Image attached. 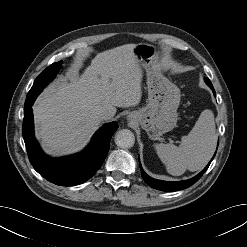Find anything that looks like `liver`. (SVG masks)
Segmentation results:
<instances>
[{"label": "liver", "mask_w": 247, "mask_h": 247, "mask_svg": "<svg viewBox=\"0 0 247 247\" xmlns=\"http://www.w3.org/2000/svg\"><path fill=\"white\" fill-rule=\"evenodd\" d=\"M135 44L98 53L83 74L49 87L33 107L44 150L62 155L80 150L101 124L98 114L140 103L142 64Z\"/></svg>", "instance_id": "6515ba94"}]
</instances>
